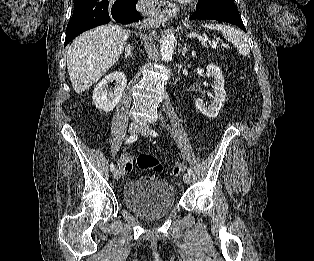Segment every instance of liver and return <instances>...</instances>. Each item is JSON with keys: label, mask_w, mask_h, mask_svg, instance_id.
I'll return each instance as SVG.
<instances>
[{"label": "liver", "mask_w": 314, "mask_h": 261, "mask_svg": "<svg viewBox=\"0 0 314 261\" xmlns=\"http://www.w3.org/2000/svg\"><path fill=\"white\" fill-rule=\"evenodd\" d=\"M128 37V31L108 24L91 29L72 42L67 69L76 93L97 82L117 62Z\"/></svg>", "instance_id": "1"}]
</instances>
